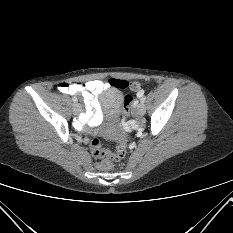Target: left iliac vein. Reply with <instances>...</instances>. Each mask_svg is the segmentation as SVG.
Returning a JSON list of instances; mask_svg holds the SVG:
<instances>
[{"label":"left iliac vein","mask_w":233,"mask_h":233,"mask_svg":"<svg viewBox=\"0 0 233 233\" xmlns=\"http://www.w3.org/2000/svg\"><path fill=\"white\" fill-rule=\"evenodd\" d=\"M146 112V107H145V104L143 102H140L137 106V113L139 115H144Z\"/></svg>","instance_id":"4c4485c4"}]
</instances>
